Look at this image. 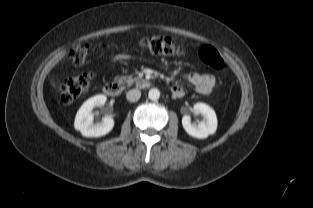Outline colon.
Returning a JSON list of instances; mask_svg holds the SVG:
<instances>
[{"instance_id": "colon-1", "label": "colon", "mask_w": 313, "mask_h": 208, "mask_svg": "<svg viewBox=\"0 0 313 208\" xmlns=\"http://www.w3.org/2000/svg\"><path fill=\"white\" fill-rule=\"evenodd\" d=\"M139 46L154 55H183L184 47L169 38L159 36L144 37ZM90 54L88 44H79L70 51V58L75 65H83ZM200 58L207 65L225 74L227 65L220 54L211 46H203L199 51ZM92 82L90 73H82L67 78L59 88L60 100L63 104H70L86 94Z\"/></svg>"}]
</instances>
